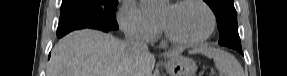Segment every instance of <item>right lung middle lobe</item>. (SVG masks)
<instances>
[{
	"label": "right lung middle lobe",
	"mask_w": 287,
	"mask_h": 76,
	"mask_svg": "<svg viewBox=\"0 0 287 76\" xmlns=\"http://www.w3.org/2000/svg\"><path fill=\"white\" fill-rule=\"evenodd\" d=\"M117 5L118 0H63L57 36L81 28L117 30Z\"/></svg>",
	"instance_id": "obj_1"
}]
</instances>
